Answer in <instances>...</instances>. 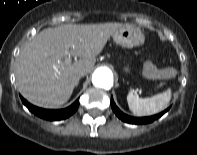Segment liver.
<instances>
[{"label": "liver", "mask_w": 197, "mask_h": 155, "mask_svg": "<svg viewBox=\"0 0 197 155\" xmlns=\"http://www.w3.org/2000/svg\"><path fill=\"white\" fill-rule=\"evenodd\" d=\"M123 24H66L47 28L22 49L16 64V86L30 103L57 108L71 97L77 72L90 73L107 40ZM67 56L79 57L74 63ZM65 58L64 62L61 59Z\"/></svg>", "instance_id": "1"}]
</instances>
